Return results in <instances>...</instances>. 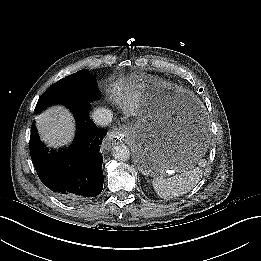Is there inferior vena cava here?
Returning <instances> with one entry per match:
<instances>
[{
  "mask_svg": "<svg viewBox=\"0 0 261 261\" xmlns=\"http://www.w3.org/2000/svg\"><path fill=\"white\" fill-rule=\"evenodd\" d=\"M93 121L100 126H107L112 122L113 113L106 108H97L92 113Z\"/></svg>",
  "mask_w": 261,
  "mask_h": 261,
  "instance_id": "602c4592",
  "label": "inferior vena cava"
}]
</instances>
